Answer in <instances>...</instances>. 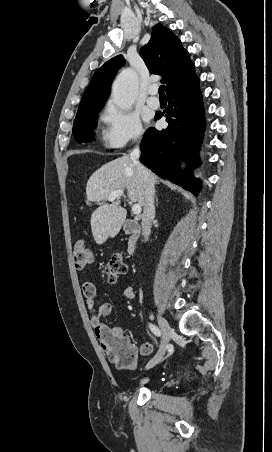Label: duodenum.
Wrapping results in <instances>:
<instances>
[{
	"label": "duodenum",
	"mask_w": 272,
	"mask_h": 452,
	"mask_svg": "<svg viewBox=\"0 0 272 452\" xmlns=\"http://www.w3.org/2000/svg\"><path fill=\"white\" fill-rule=\"evenodd\" d=\"M123 230L129 234L128 252L134 254L137 249V243L141 235L140 222L134 219H127L123 223Z\"/></svg>",
	"instance_id": "duodenum-1"
}]
</instances>
